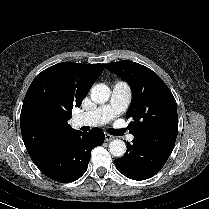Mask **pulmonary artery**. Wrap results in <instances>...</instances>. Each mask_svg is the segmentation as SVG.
I'll use <instances>...</instances> for the list:
<instances>
[{
	"instance_id": "pulmonary-artery-1",
	"label": "pulmonary artery",
	"mask_w": 209,
	"mask_h": 209,
	"mask_svg": "<svg viewBox=\"0 0 209 209\" xmlns=\"http://www.w3.org/2000/svg\"><path fill=\"white\" fill-rule=\"evenodd\" d=\"M130 101V88L122 81H118L112 88L110 101L98 107L94 111L85 112L75 118L78 126H99L107 123L116 115L124 111ZM129 141L134 139L133 135L127 138Z\"/></svg>"
}]
</instances>
